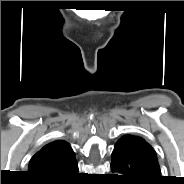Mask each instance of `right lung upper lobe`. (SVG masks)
Masks as SVG:
<instances>
[{
    "label": "right lung upper lobe",
    "mask_w": 184,
    "mask_h": 184,
    "mask_svg": "<svg viewBox=\"0 0 184 184\" xmlns=\"http://www.w3.org/2000/svg\"><path fill=\"white\" fill-rule=\"evenodd\" d=\"M73 158V150L67 142L54 141L32 157L28 172L34 177L45 176L59 170Z\"/></svg>",
    "instance_id": "1"
}]
</instances>
